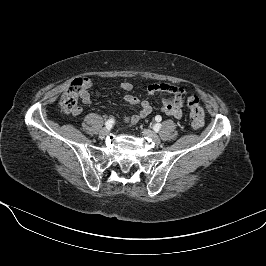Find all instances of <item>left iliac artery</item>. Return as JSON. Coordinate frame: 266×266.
I'll return each mask as SVG.
<instances>
[{"instance_id":"obj_1","label":"left iliac artery","mask_w":266,"mask_h":266,"mask_svg":"<svg viewBox=\"0 0 266 266\" xmlns=\"http://www.w3.org/2000/svg\"><path fill=\"white\" fill-rule=\"evenodd\" d=\"M155 119H156V121H161V116L157 115V116L155 117ZM160 128H161V124H160V123H157V124H155V125L153 126V129H154L155 131H159Z\"/></svg>"}]
</instances>
